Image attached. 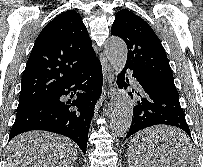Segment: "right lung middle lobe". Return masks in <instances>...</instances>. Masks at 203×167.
<instances>
[{"instance_id":"right-lung-middle-lobe-1","label":"right lung middle lobe","mask_w":203,"mask_h":167,"mask_svg":"<svg viewBox=\"0 0 203 167\" xmlns=\"http://www.w3.org/2000/svg\"><path fill=\"white\" fill-rule=\"evenodd\" d=\"M46 101H48V100H45V101H42V102H39V103H43V102H46ZM39 103H37V104H39ZM35 105V104H34ZM32 106V105H31ZM26 107H29V106H25V107H20V106H18V108H17V111L18 110H21V109H24V108H26Z\"/></svg>"}]
</instances>
